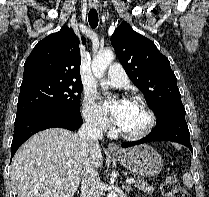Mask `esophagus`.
I'll return each instance as SVG.
<instances>
[{"mask_svg": "<svg viewBox=\"0 0 209 197\" xmlns=\"http://www.w3.org/2000/svg\"><path fill=\"white\" fill-rule=\"evenodd\" d=\"M89 6L92 7V8H95L98 6V3L96 1H91L89 3ZM108 150L111 152V153H114V154H121L122 151L120 150V148L118 147L117 144L115 143H110L108 145Z\"/></svg>", "mask_w": 209, "mask_h": 197, "instance_id": "obj_1", "label": "esophagus"}]
</instances>
